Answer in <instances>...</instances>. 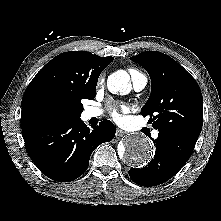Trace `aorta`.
I'll return each instance as SVG.
<instances>
[{"label": "aorta", "mask_w": 221, "mask_h": 221, "mask_svg": "<svg viewBox=\"0 0 221 221\" xmlns=\"http://www.w3.org/2000/svg\"><path fill=\"white\" fill-rule=\"evenodd\" d=\"M130 76L124 70H118L109 75L108 90L113 94H128L131 90ZM122 160L130 165L143 166L152 158V146L147 137L141 134H132L124 139L118 148Z\"/></svg>", "instance_id": "1"}]
</instances>
